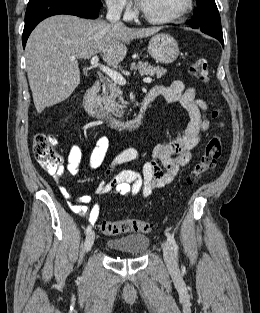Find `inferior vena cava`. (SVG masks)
Segmentation results:
<instances>
[{
	"mask_svg": "<svg viewBox=\"0 0 260 313\" xmlns=\"http://www.w3.org/2000/svg\"><path fill=\"white\" fill-rule=\"evenodd\" d=\"M107 8V20L110 21L112 24L122 25V23L120 22L121 12L119 11L117 5L114 3H107Z\"/></svg>",
	"mask_w": 260,
	"mask_h": 313,
	"instance_id": "obj_1",
	"label": "inferior vena cava"
}]
</instances>
